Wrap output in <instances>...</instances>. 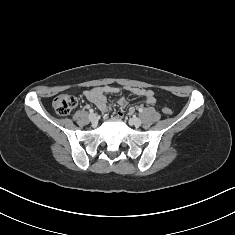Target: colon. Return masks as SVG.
<instances>
[{
	"label": "colon",
	"mask_w": 235,
	"mask_h": 235,
	"mask_svg": "<svg viewBox=\"0 0 235 235\" xmlns=\"http://www.w3.org/2000/svg\"><path fill=\"white\" fill-rule=\"evenodd\" d=\"M76 105V99L68 94L58 95L53 101V108L60 116L69 115ZM162 111L165 115H170L172 113V110L169 107H164Z\"/></svg>",
	"instance_id": "obj_1"
}]
</instances>
